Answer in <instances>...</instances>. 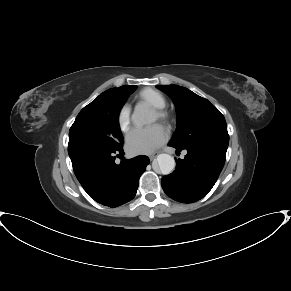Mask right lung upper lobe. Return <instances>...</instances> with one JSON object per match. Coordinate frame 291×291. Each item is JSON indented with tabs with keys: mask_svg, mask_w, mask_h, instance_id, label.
<instances>
[{
	"mask_svg": "<svg viewBox=\"0 0 291 291\" xmlns=\"http://www.w3.org/2000/svg\"><path fill=\"white\" fill-rule=\"evenodd\" d=\"M122 87L126 88V87H131V86H122Z\"/></svg>",
	"mask_w": 291,
	"mask_h": 291,
	"instance_id": "obj_1",
	"label": "right lung upper lobe"
}]
</instances>
